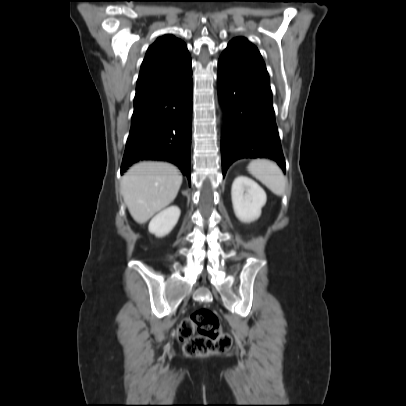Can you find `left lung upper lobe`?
<instances>
[{
  "label": "left lung upper lobe",
  "instance_id": "obj_1",
  "mask_svg": "<svg viewBox=\"0 0 406 406\" xmlns=\"http://www.w3.org/2000/svg\"><path fill=\"white\" fill-rule=\"evenodd\" d=\"M224 52L234 53L237 55H241L253 62L260 64L261 66L265 67L264 61L256 48L253 44H251L247 39L243 37L234 38Z\"/></svg>",
  "mask_w": 406,
  "mask_h": 406
}]
</instances>
